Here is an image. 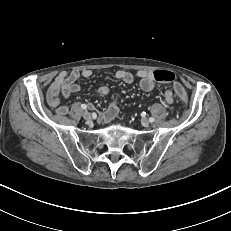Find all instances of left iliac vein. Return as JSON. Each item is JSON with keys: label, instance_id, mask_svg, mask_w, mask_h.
Segmentation results:
<instances>
[{"label": "left iliac vein", "instance_id": "4c4485c4", "mask_svg": "<svg viewBox=\"0 0 231 231\" xmlns=\"http://www.w3.org/2000/svg\"><path fill=\"white\" fill-rule=\"evenodd\" d=\"M141 123H142V125H143L144 127H148L149 124H150V121H149L147 118H143V119L141 120Z\"/></svg>", "mask_w": 231, "mask_h": 231}]
</instances>
